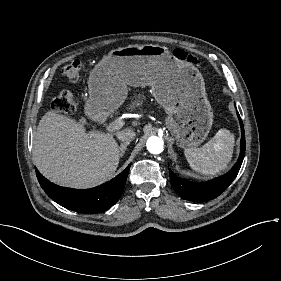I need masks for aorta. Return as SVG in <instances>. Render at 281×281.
Wrapping results in <instances>:
<instances>
[{"mask_svg": "<svg viewBox=\"0 0 281 281\" xmlns=\"http://www.w3.org/2000/svg\"><path fill=\"white\" fill-rule=\"evenodd\" d=\"M163 139L157 136H151L147 140V150L152 154H159L163 151Z\"/></svg>", "mask_w": 281, "mask_h": 281, "instance_id": "1", "label": "aorta"}]
</instances>
